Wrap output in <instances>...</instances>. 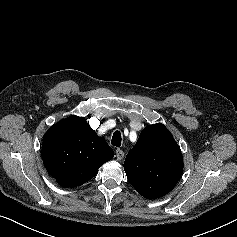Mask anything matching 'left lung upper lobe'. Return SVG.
I'll use <instances>...</instances> for the list:
<instances>
[{"label": "left lung upper lobe", "mask_w": 237, "mask_h": 237, "mask_svg": "<svg viewBox=\"0 0 237 237\" xmlns=\"http://www.w3.org/2000/svg\"><path fill=\"white\" fill-rule=\"evenodd\" d=\"M127 179L147 199L169 193L183 171L182 153L169 130L161 123L144 128L125 159Z\"/></svg>", "instance_id": "5c2ea615"}]
</instances>
